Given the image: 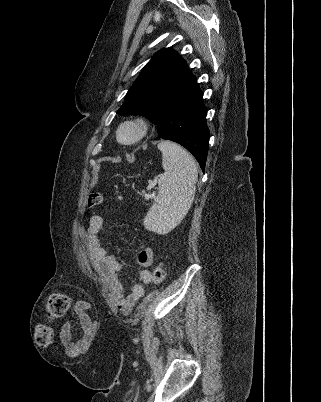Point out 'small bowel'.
Returning <instances> with one entry per match:
<instances>
[{
    "label": "small bowel",
    "mask_w": 321,
    "mask_h": 402,
    "mask_svg": "<svg viewBox=\"0 0 321 402\" xmlns=\"http://www.w3.org/2000/svg\"><path fill=\"white\" fill-rule=\"evenodd\" d=\"M103 223V217L97 214L92 215L89 219L87 238L90 255L97 272L107 281L117 307L123 314L128 315L144 295L145 286L152 282L148 267L153 262V251L151 248H145L136 255L135 262L141 268L139 282L132 286L128 295H125L123 283L119 278V271L122 266L121 260L115 253H109L106 250L99 236ZM92 308L93 305L91 303L78 302L76 304L74 313L76 316H79L83 327L80 333V344L73 343L71 339L68 329L72 328V321L64 320L62 323L63 328L59 331V336L71 357L83 358L87 352V347L93 345V340L90 336L95 334L97 322L91 320L90 312L87 311Z\"/></svg>",
    "instance_id": "obj_1"
}]
</instances>
